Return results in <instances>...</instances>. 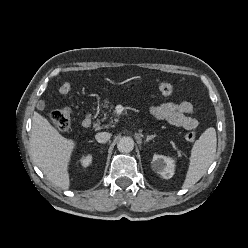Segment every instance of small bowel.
Here are the masks:
<instances>
[{
    "label": "small bowel",
    "instance_id": "obj_1",
    "mask_svg": "<svg viewBox=\"0 0 248 248\" xmlns=\"http://www.w3.org/2000/svg\"><path fill=\"white\" fill-rule=\"evenodd\" d=\"M153 117L164 120L168 124L193 130L198 126V120L194 114V108L188 100L179 102H167L150 109Z\"/></svg>",
    "mask_w": 248,
    "mask_h": 248
}]
</instances>
